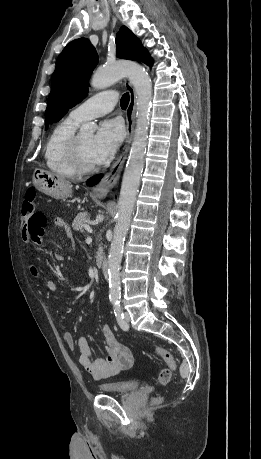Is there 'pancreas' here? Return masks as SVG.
Returning a JSON list of instances; mask_svg holds the SVG:
<instances>
[{
  "label": "pancreas",
  "mask_w": 261,
  "mask_h": 459,
  "mask_svg": "<svg viewBox=\"0 0 261 459\" xmlns=\"http://www.w3.org/2000/svg\"><path fill=\"white\" fill-rule=\"evenodd\" d=\"M89 220L90 219H89L88 213L87 212H81L75 217V219H74V221L72 223V227H73L74 230H76V231L80 230L82 232L84 224L88 223ZM101 252H102V248L99 247L98 252H97V259L98 260L100 259Z\"/></svg>",
  "instance_id": "obj_1"
}]
</instances>
